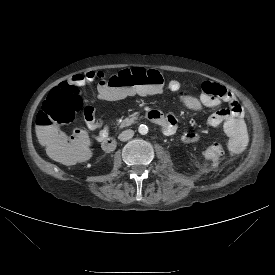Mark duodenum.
Instances as JSON below:
<instances>
[{
  "instance_id": "duodenum-1",
  "label": "duodenum",
  "mask_w": 275,
  "mask_h": 275,
  "mask_svg": "<svg viewBox=\"0 0 275 275\" xmlns=\"http://www.w3.org/2000/svg\"><path fill=\"white\" fill-rule=\"evenodd\" d=\"M152 114H154L153 111L148 112L147 117L149 119H151ZM151 120H153V119H151ZM116 146H117V141H116V139H114L112 137H108V138L104 139L102 142V148L107 152L113 151L116 148Z\"/></svg>"
}]
</instances>
